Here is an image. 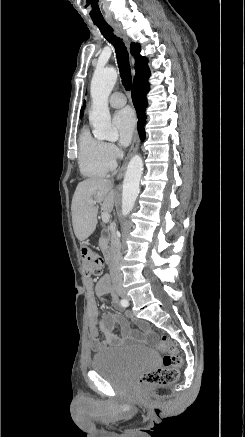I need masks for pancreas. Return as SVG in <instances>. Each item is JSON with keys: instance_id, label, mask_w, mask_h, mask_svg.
<instances>
[{"instance_id": "obj_1", "label": "pancreas", "mask_w": 245, "mask_h": 437, "mask_svg": "<svg viewBox=\"0 0 245 437\" xmlns=\"http://www.w3.org/2000/svg\"><path fill=\"white\" fill-rule=\"evenodd\" d=\"M107 245V240L105 238H100L99 240V246L104 249Z\"/></svg>"}]
</instances>
